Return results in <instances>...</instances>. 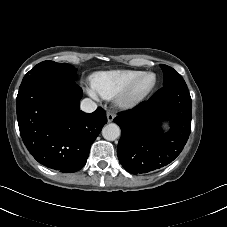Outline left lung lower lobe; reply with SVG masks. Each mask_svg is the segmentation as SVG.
Returning <instances> with one entry per match:
<instances>
[{"instance_id": "obj_1", "label": "left lung lower lobe", "mask_w": 227, "mask_h": 227, "mask_svg": "<svg viewBox=\"0 0 227 227\" xmlns=\"http://www.w3.org/2000/svg\"><path fill=\"white\" fill-rule=\"evenodd\" d=\"M192 100L187 85L163 86L133 109L118 113L121 128L117 154L131 174L147 173L171 163L182 151L191 130ZM170 119V131L161 124Z\"/></svg>"}]
</instances>
